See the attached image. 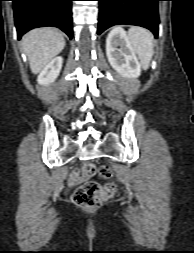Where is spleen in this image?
Instances as JSON below:
<instances>
[{
    "label": "spleen",
    "instance_id": "obj_1",
    "mask_svg": "<svg viewBox=\"0 0 194 253\" xmlns=\"http://www.w3.org/2000/svg\"><path fill=\"white\" fill-rule=\"evenodd\" d=\"M128 39L139 57L141 66L147 70L154 53L152 33L145 28L134 26L128 31Z\"/></svg>",
    "mask_w": 194,
    "mask_h": 253
}]
</instances>
